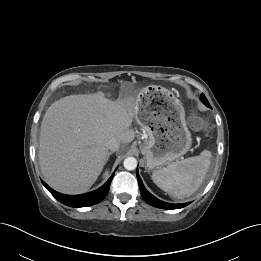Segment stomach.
<instances>
[{
	"instance_id": "obj_1",
	"label": "stomach",
	"mask_w": 261,
	"mask_h": 261,
	"mask_svg": "<svg viewBox=\"0 0 261 261\" xmlns=\"http://www.w3.org/2000/svg\"><path fill=\"white\" fill-rule=\"evenodd\" d=\"M135 118L148 135L140 146L146 168H161L189 151L191 133L184 108L173 91L146 87L137 98Z\"/></svg>"
}]
</instances>
